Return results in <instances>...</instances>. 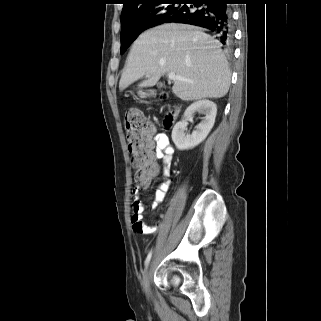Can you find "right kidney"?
I'll return each instance as SVG.
<instances>
[{
	"mask_svg": "<svg viewBox=\"0 0 321 321\" xmlns=\"http://www.w3.org/2000/svg\"><path fill=\"white\" fill-rule=\"evenodd\" d=\"M195 112L202 113L205 116L190 135L186 133L188 125L187 118L192 117ZM216 114V104L210 100L203 99L191 104L186 109L183 119L176 123L172 130V140L177 149H192L204 141L215 123Z\"/></svg>",
	"mask_w": 321,
	"mask_h": 321,
	"instance_id": "right-kidney-1",
	"label": "right kidney"
}]
</instances>
